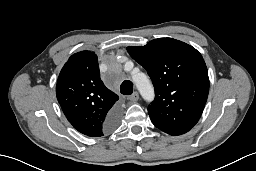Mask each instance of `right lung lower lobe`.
Segmentation results:
<instances>
[{"label":"right lung lower lobe","mask_w":256,"mask_h":171,"mask_svg":"<svg viewBox=\"0 0 256 171\" xmlns=\"http://www.w3.org/2000/svg\"><path fill=\"white\" fill-rule=\"evenodd\" d=\"M119 119H120V110L118 107H116L110 112V114L107 117V120L105 122L106 129L108 130L114 129L118 125Z\"/></svg>","instance_id":"98d812e1"}]
</instances>
